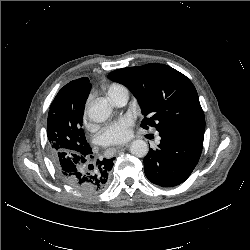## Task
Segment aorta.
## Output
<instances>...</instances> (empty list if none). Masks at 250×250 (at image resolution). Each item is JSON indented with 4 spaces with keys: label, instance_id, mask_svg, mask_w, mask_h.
Segmentation results:
<instances>
[{
    "label": "aorta",
    "instance_id": "obj_1",
    "mask_svg": "<svg viewBox=\"0 0 250 250\" xmlns=\"http://www.w3.org/2000/svg\"><path fill=\"white\" fill-rule=\"evenodd\" d=\"M113 106L111 101L101 98L92 102L87 110L88 118L94 123L105 122L112 114ZM149 151L144 140H134L130 145V153L136 157L143 158Z\"/></svg>",
    "mask_w": 250,
    "mask_h": 250
}]
</instances>
